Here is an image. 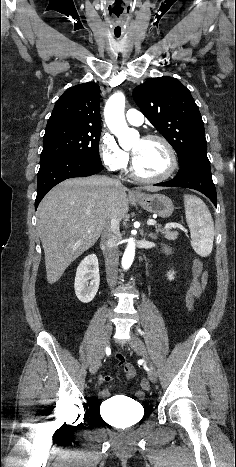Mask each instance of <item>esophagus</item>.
Here are the masks:
<instances>
[{"mask_svg":"<svg viewBox=\"0 0 236 467\" xmlns=\"http://www.w3.org/2000/svg\"><path fill=\"white\" fill-rule=\"evenodd\" d=\"M131 194H133V195H138L139 192H138L137 190H133V191L131 192Z\"/></svg>","mask_w":236,"mask_h":467,"instance_id":"34e87169","label":"esophagus"}]
</instances>
